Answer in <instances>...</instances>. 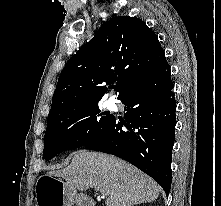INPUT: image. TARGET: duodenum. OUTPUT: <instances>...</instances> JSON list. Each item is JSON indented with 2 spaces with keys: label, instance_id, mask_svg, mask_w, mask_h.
Listing matches in <instances>:
<instances>
[{
  "label": "duodenum",
  "instance_id": "obj_1",
  "mask_svg": "<svg viewBox=\"0 0 221 206\" xmlns=\"http://www.w3.org/2000/svg\"><path fill=\"white\" fill-rule=\"evenodd\" d=\"M89 200V204H88V206H95V204H94V202H93V200L92 199H88Z\"/></svg>",
  "mask_w": 221,
  "mask_h": 206
}]
</instances>
